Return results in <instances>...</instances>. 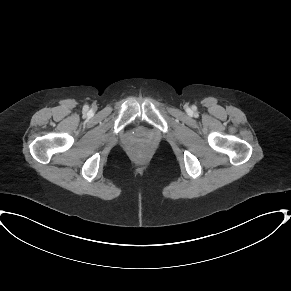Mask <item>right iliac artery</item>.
<instances>
[{
	"label": "right iliac artery",
	"instance_id": "82829eb1",
	"mask_svg": "<svg viewBox=\"0 0 291 291\" xmlns=\"http://www.w3.org/2000/svg\"><path fill=\"white\" fill-rule=\"evenodd\" d=\"M88 108H89V107H88L87 105L84 106V109H85V110H88Z\"/></svg>",
	"mask_w": 291,
	"mask_h": 291
}]
</instances>
